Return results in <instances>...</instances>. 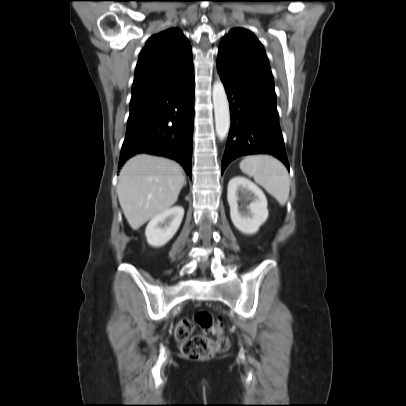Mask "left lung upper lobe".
<instances>
[{
  "label": "left lung upper lobe",
  "mask_w": 406,
  "mask_h": 406,
  "mask_svg": "<svg viewBox=\"0 0 406 406\" xmlns=\"http://www.w3.org/2000/svg\"><path fill=\"white\" fill-rule=\"evenodd\" d=\"M218 58L274 83L264 48L249 30L231 29L219 46Z\"/></svg>",
  "instance_id": "5c2ea615"
}]
</instances>
